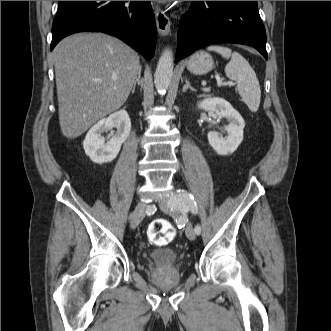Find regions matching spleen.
<instances>
[{
  "mask_svg": "<svg viewBox=\"0 0 331 331\" xmlns=\"http://www.w3.org/2000/svg\"><path fill=\"white\" fill-rule=\"evenodd\" d=\"M215 51L230 61L225 67V74L237 83V91L250 111L256 112L260 105L261 90L255 71L249 62L238 52L225 46L212 45L207 48Z\"/></svg>",
  "mask_w": 331,
  "mask_h": 331,
  "instance_id": "1",
  "label": "spleen"
}]
</instances>
